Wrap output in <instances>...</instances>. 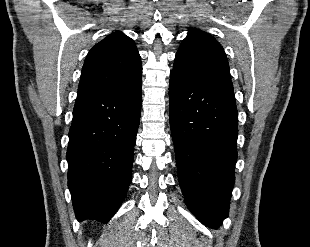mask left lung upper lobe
I'll return each mask as SVG.
<instances>
[{
	"instance_id": "1",
	"label": "left lung upper lobe",
	"mask_w": 310,
	"mask_h": 247,
	"mask_svg": "<svg viewBox=\"0 0 310 247\" xmlns=\"http://www.w3.org/2000/svg\"><path fill=\"white\" fill-rule=\"evenodd\" d=\"M172 71L233 91L224 49L210 34L199 29H190L176 53Z\"/></svg>"
}]
</instances>
